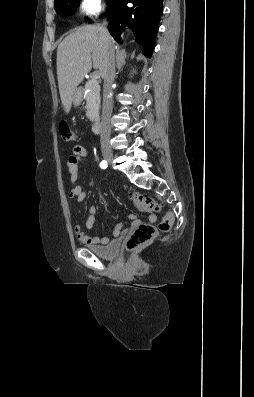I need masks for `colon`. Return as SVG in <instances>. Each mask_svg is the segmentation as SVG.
Returning a JSON list of instances; mask_svg holds the SVG:
<instances>
[{"label": "colon", "instance_id": "obj_1", "mask_svg": "<svg viewBox=\"0 0 254 397\" xmlns=\"http://www.w3.org/2000/svg\"><path fill=\"white\" fill-rule=\"evenodd\" d=\"M59 133L65 141L74 142L76 141V135L69 127L66 122H60ZM132 202L141 210L146 212H159L161 206L153 198L142 195L138 192L130 194ZM173 223V215L167 213L160 221L158 226L152 224H140L134 231L128 236L126 240V250L133 251L140 247H143L152 242L159 234V232H167L170 230Z\"/></svg>", "mask_w": 254, "mask_h": 397}]
</instances>
